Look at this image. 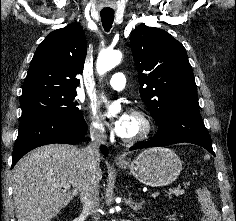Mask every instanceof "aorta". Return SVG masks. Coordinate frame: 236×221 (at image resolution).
Returning <instances> with one entry per match:
<instances>
[{
  "instance_id": "obj_1",
  "label": "aorta",
  "mask_w": 236,
  "mask_h": 221,
  "mask_svg": "<svg viewBox=\"0 0 236 221\" xmlns=\"http://www.w3.org/2000/svg\"><path fill=\"white\" fill-rule=\"evenodd\" d=\"M122 58V54L119 51H105L99 54L97 63H96V69L97 72L100 75L105 74L106 72L113 69L115 66H117ZM108 108V116H114L116 113H118L121 109V106L119 103H112L107 106Z\"/></svg>"
}]
</instances>
